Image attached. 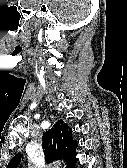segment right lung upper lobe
<instances>
[{"mask_svg":"<svg viewBox=\"0 0 127 168\" xmlns=\"http://www.w3.org/2000/svg\"><path fill=\"white\" fill-rule=\"evenodd\" d=\"M71 135V128L63 120H58L50 130L43 134L42 145L47 163L61 159L65 162L66 168H71L76 162L75 148L78 147ZM19 163L20 154H17L8 163L7 168H17Z\"/></svg>","mask_w":127,"mask_h":168,"instance_id":"cb5924a9","label":"right lung upper lobe"}]
</instances>
